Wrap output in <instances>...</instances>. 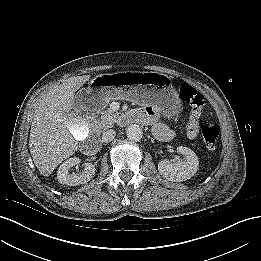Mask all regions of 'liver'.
<instances>
[{
    "mask_svg": "<svg viewBox=\"0 0 261 261\" xmlns=\"http://www.w3.org/2000/svg\"><path fill=\"white\" fill-rule=\"evenodd\" d=\"M90 75L70 77L51 88L39 101L30 130L29 147L34 164L43 176H49L63 160L78 148L68 121L75 92ZM70 119V120H69Z\"/></svg>",
    "mask_w": 261,
    "mask_h": 261,
    "instance_id": "6515ba94",
    "label": "liver"
}]
</instances>
